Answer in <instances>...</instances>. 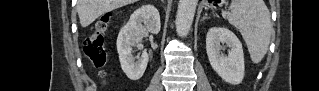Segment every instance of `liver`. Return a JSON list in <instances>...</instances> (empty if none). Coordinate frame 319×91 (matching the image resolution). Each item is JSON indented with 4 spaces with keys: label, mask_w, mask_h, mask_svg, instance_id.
<instances>
[{
    "label": "liver",
    "mask_w": 319,
    "mask_h": 91,
    "mask_svg": "<svg viewBox=\"0 0 319 91\" xmlns=\"http://www.w3.org/2000/svg\"><path fill=\"white\" fill-rule=\"evenodd\" d=\"M136 0H78L77 12L82 27L92 24L106 12L134 3Z\"/></svg>",
    "instance_id": "1"
}]
</instances>
